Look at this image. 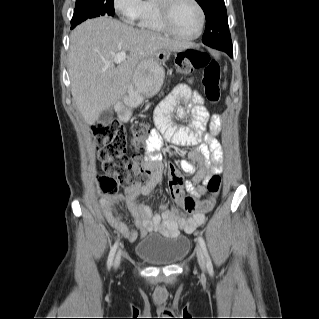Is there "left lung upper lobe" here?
I'll use <instances>...</instances> for the list:
<instances>
[{"label":"left lung upper lobe","mask_w":319,"mask_h":319,"mask_svg":"<svg viewBox=\"0 0 319 319\" xmlns=\"http://www.w3.org/2000/svg\"><path fill=\"white\" fill-rule=\"evenodd\" d=\"M206 16L205 45L222 50L232 45L224 0H196Z\"/></svg>","instance_id":"left-lung-upper-lobe-1"}]
</instances>
